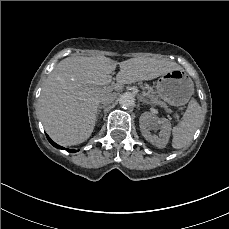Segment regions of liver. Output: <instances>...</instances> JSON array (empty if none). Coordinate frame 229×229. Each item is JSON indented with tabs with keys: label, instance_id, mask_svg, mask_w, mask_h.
<instances>
[{
	"label": "liver",
	"instance_id": "6515ba94",
	"mask_svg": "<svg viewBox=\"0 0 229 229\" xmlns=\"http://www.w3.org/2000/svg\"><path fill=\"white\" fill-rule=\"evenodd\" d=\"M117 64L120 71L112 89H122L125 84L152 80L173 69H182L175 62L149 57L120 63L105 56L61 60L44 83L36 104L45 131L55 143L72 146L90 137L101 100L111 103L116 98L106 86Z\"/></svg>",
	"mask_w": 229,
	"mask_h": 229
}]
</instances>
